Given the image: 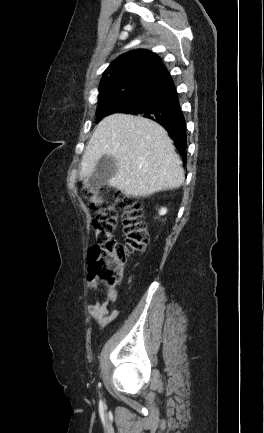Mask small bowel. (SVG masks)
Masks as SVG:
<instances>
[{"label":"small bowel","mask_w":264,"mask_h":433,"mask_svg":"<svg viewBox=\"0 0 264 433\" xmlns=\"http://www.w3.org/2000/svg\"><path fill=\"white\" fill-rule=\"evenodd\" d=\"M88 286L90 289L98 291V286L94 279H89ZM115 300V293H111L104 300L95 298L88 306L89 315L97 321L100 326H107L114 321L120 313V310L114 306Z\"/></svg>","instance_id":"small-bowel-1"}]
</instances>
